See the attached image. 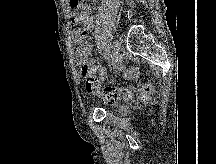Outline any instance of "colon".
<instances>
[{
	"mask_svg": "<svg viewBox=\"0 0 216 164\" xmlns=\"http://www.w3.org/2000/svg\"><path fill=\"white\" fill-rule=\"evenodd\" d=\"M82 76L85 78L86 89L90 93L99 94L102 101L107 104H117L121 101H127L132 97L133 91L128 88L117 86H108L101 88L98 78L88 68L83 67L81 70ZM139 98L143 102H148L153 94L151 85H140L137 89Z\"/></svg>",
	"mask_w": 216,
	"mask_h": 164,
	"instance_id": "obj_1",
	"label": "colon"
}]
</instances>
